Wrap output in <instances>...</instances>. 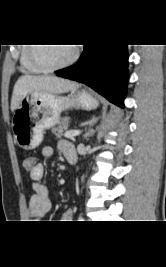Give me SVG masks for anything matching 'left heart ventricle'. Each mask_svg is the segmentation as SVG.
<instances>
[{
    "mask_svg": "<svg viewBox=\"0 0 166 267\" xmlns=\"http://www.w3.org/2000/svg\"><path fill=\"white\" fill-rule=\"evenodd\" d=\"M73 47L70 46H41L38 48L39 58L49 65L66 62L72 55Z\"/></svg>",
    "mask_w": 166,
    "mask_h": 267,
    "instance_id": "left-heart-ventricle-1",
    "label": "left heart ventricle"
}]
</instances>
